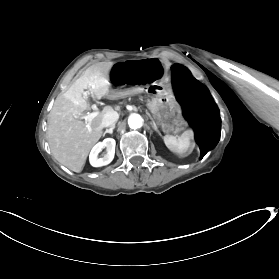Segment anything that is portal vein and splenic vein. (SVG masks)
<instances>
[{"mask_svg": "<svg viewBox=\"0 0 279 279\" xmlns=\"http://www.w3.org/2000/svg\"><path fill=\"white\" fill-rule=\"evenodd\" d=\"M91 109L93 111H96V112H92L86 116H82L81 119H84L86 121V123H90L98 114V106L96 103H93L92 106H91Z\"/></svg>", "mask_w": 279, "mask_h": 279, "instance_id": "18ae733b", "label": "portal vein and splenic vein"}]
</instances>
